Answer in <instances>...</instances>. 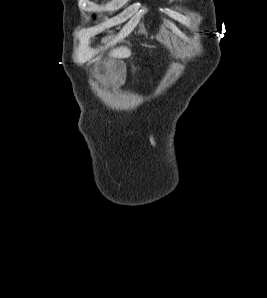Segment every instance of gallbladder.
<instances>
[{"label": "gallbladder", "instance_id": "bac80fb5", "mask_svg": "<svg viewBox=\"0 0 267 298\" xmlns=\"http://www.w3.org/2000/svg\"><path fill=\"white\" fill-rule=\"evenodd\" d=\"M118 64H119V63H118ZM117 71H118V73H121V72H122V69L119 68V69H117Z\"/></svg>", "mask_w": 267, "mask_h": 298}]
</instances>
